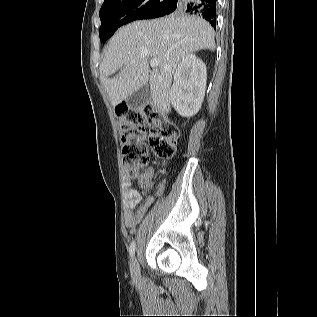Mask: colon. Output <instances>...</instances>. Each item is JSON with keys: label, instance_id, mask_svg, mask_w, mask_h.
Masks as SVG:
<instances>
[{"label": "colon", "instance_id": "obj_1", "mask_svg": "<svg viewBox=\"0 0 317 317\" xmlns=\"http://www.w3.org/2000/svg\"><path fill=\"white\" fill-rule=\"evenodd\" d=\"M116 114L123 164L131 178H137L146 168L149 148L162 159H169L175 154L179 129L152 105L141 108L119 105ZM139 184L143 189L150 187L147 181L141 180Z\"/></svg>", "mask_w": 317, "mask_h": 317}]
</instances>
